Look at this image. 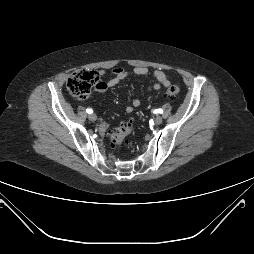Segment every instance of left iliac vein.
I'll use <instances>...</instances> for the list:
<instances>
[{
    "label": "left iliac vein",
    "instance_id": "4c4485c4",
    "mask_svg": "<svg viewBox=\"0 0 254 254\" xmlns=\"http://www.w3.org/2000/svg\"><path fill=\"white\" fill-rule=\"evenodd\" d=\"M162 121H163V119H162L161 116H157V117L155 118V124H156V125H160V124L162 123Z\"/></svg>",
    "mask_w": 254,
    "mask_h": 254
}]
</instances>
